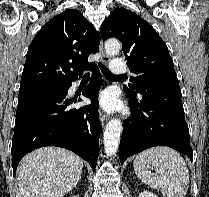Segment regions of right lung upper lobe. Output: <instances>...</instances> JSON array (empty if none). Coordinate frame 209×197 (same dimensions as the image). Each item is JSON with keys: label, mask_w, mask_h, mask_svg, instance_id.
I'll list each match as a JSON object with an SVG mask.
<instances>
[{"label": "right lung upper lobe", "mask_w": 209, "mask_h": 197, "mask_svg": "<svg viewBox=\"0 0 209 197\" xmlns=\"http://www.w3.org/2000/svg\"><path fill=\"white\" fill-rule=\"evenodd\" d=\"M100 44V33L77 10L52 18L36 34L26 55L20 89L67 85L93 67L89 54Z\"/></svg>", "instance_id": "obj_1"}]
</instances>
